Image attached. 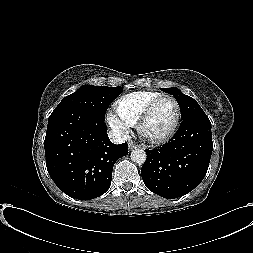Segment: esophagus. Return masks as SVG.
<instances>
[{
	"mask_svg": "<svg viewBox=\"0 0 253 253\" xmlns=\"http://www.w3.org/2000/svg\"><path fill=\"white\" fill-rule=\"evenodd\" d=\"M128 147H129V150L132 151V150L138 148L139 146H138L135 142L130 141V142L128 143Z\"/></svg>",
	"mask_w": 253,
	"mask_h": 253,
	"instance_id": "1",
	"label": "esophagus"
}]
</instances>
